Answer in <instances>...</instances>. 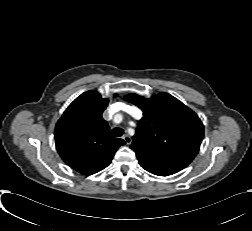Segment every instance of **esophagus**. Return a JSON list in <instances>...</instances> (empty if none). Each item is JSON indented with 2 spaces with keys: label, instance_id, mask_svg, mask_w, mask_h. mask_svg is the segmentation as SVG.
<instances>
[{
  "label": "esophagus",
  "instance_id": "1",
  "mask_svg": "<svg viewBox=\"0 0 252 231\" xmlns=\"http://www.w3.org/2000/svg\"><path fill=\"white\" fill-rule=\"evenodd\" d=\"M122 138L124 139V141L126 142L127 145L131 144L132 139L129 135H124Z\"/></svg>",
  "mask_w": 252,
  "mask_h": 231
}]
</instances>
